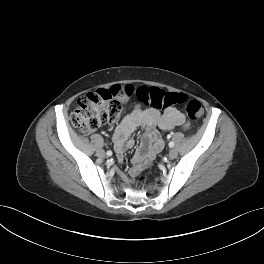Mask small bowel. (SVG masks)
I'll return each mask as SVG.
<instances>
[{
  "label": "small bowel",
  "mask_w": 264,
  "mask_h": 264,
  "mask_svg": "<svg viewBox=\"0 0 264 264\" xmlns=\"http://www.w3.org/2000/svg\"><path fill=\"white\" fill-rule=\"evenodd\" d=\"M176 126L188 129L190 124L185 115L174 107L167 108L163 113H160L155 109L143 110L140 106H135L133 111L122 119L113 135L119 161L123 160L125 150L134 145V140L129 138L134 130L138 127H144L147 130L132 158L129 174L124 177L126 181L150 165L162 150L163 141L156 128L170 130Z\"/></svg>",
  "instance_id": "1"
}]
</instances>
